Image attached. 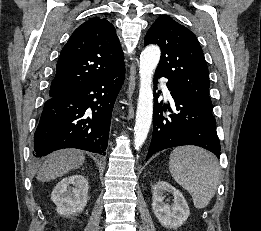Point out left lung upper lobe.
Segmentation results:
<instances>
[{"instance_id": "1", "label": "left lung upper lobe", "mask_w": 261, "mask_h": 231, "mask_svg": "<svg viewBox=\"0 0 261 231\" xmlns=\"http://www.w3.org/2000/svg\"><path fill=\"white\" fill-rule=\"evenodd\" d=\"M144 44H158L161 48L155 74L166 77L173 90L186 100L212 109L207 64L197 38L189 29L162 15L148 30Z\"/></svg>"}]
</instances>
